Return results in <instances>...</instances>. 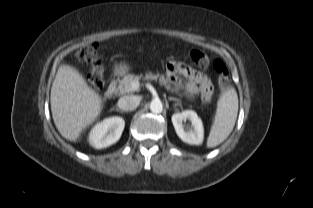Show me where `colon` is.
<instances>
[{
    "label": "colon",
    "mask_w": 313,
    "mask_h": 208,
    "mask_svg": "<svg viewBox=\"0 0 313 208\" xmlns=\"http://www.w3.org/2000/svg\"><path fill=\"white\" fill-rule=\"evenodd\" d=\"M98 49V44L92 43L81 48L78 52V55L81 59L89 61L91 63L92 71L90 74V80L95 87L101 88L104 84V80ZM190 57L193 62L200 66L207 65L209 61L208 56L199 50H192L190 53ZM213 67L218 75L219 85H227L230 81V77L226 65L220 60H215L213 62Z\"/></svg>",
    "instance_id": "colon-1"
}]
</instances>
